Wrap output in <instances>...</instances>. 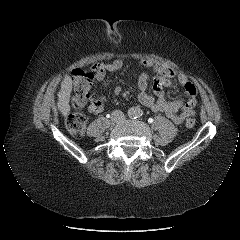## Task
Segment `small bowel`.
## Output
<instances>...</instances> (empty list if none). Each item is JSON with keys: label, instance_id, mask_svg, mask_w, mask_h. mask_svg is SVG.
Here are the masks:
<instances>
[{"label": "small bowel", "instance_id": "1", "mask_svg": "<svg viewBox=\"0 0 240 240\" xmlns=\"http://www.w3.org/2000/svg\"><path fill=\"white\" fill-rule=\"evenodd\" d=\"M142 65L152 71L156 77L153 83V94L148 93V73L143 71L139 76L138 86L139 95L138 99L141 104L148 107L154 112H161L166 114L175 123L180 124L189 115L195 116L196 111V96L197 90L193 83H191L186 75L181 72H176L166 66L153 61H143ZM123 66V61L120 59L114 60L109 63H97L92 67L95 72V78L97 81L104 79L107 72H114L119 70ZM173 79H177L184 89L185 99L169 100L163 87H172ZM90 91V90H89ZM121 92L120 87H116L114 90L115 95H119ZM106 98L101 95H94L92 98L89 111L93 114H100L104 111V103Z\"/></svg>", "mask_w": 240, "mask_h": 240}]
</instances>
